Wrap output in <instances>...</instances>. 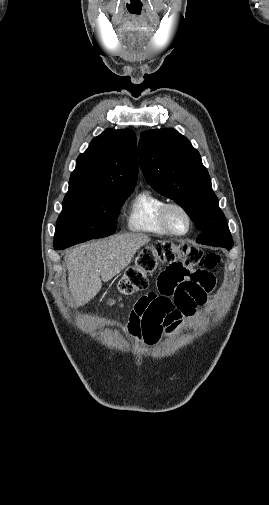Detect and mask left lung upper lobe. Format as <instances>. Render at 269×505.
Returning a JSON list of instances; mask_svg holds the SVG:
<instances>
[{"label": "left lung upper lobe", "mask_w": 269, "mask_h": 505, "mask_svg": "<svg viewBox=\"0 0 269 505\" xmlns=\"http://www.w3.org/2000/svg\"><path fill=\"white\" fill-rule=\"evenodd\" d=\"M139 160L151 187L179 204L202 231L198 243L232 248L228 224L207 169L186 137L174 129L144 131L139 140Z\"/></svg>", "instance_id": "left-lung-upper-lobe-1"}]
</instances>
